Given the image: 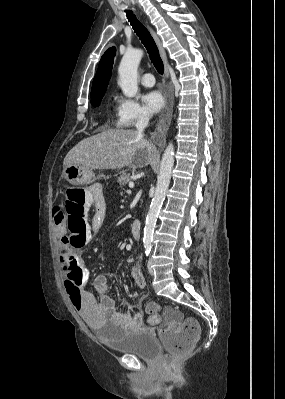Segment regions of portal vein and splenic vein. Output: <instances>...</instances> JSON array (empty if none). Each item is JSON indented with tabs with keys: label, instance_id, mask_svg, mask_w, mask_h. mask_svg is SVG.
<instances>
[{
	"label": "portal vein and splenic vein",
	"instance_id": "1",
	"mask_svg": "<svg viewBox=\"0 0 285 399\" xmlns=\"http://www.w3.org/2000/svg\"><path fill=\"white\" fill-rule=\"evenodd\" d=\"M129 187L133 188L134 187V182H129Z\"/></svg>",
	"mask_w": 285,
	"mask_h": 399
}]
</instances>
